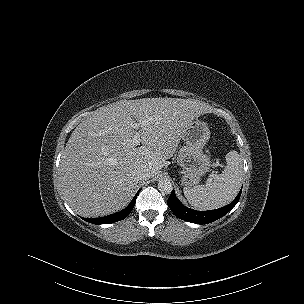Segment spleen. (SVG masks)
<instances>
[{
	"label": "spleen",
	"instance_id": "1",
	"mask_svg": "<svg viewBox=\"0 0 304 304\" xmlns=\"http://www.w3.org/2000/svg\"><path fill=\"white\" fill-rule=\"evenodd\" d=\"M224 171L208 181L206 185L194 188L184 187V195L192 206L201 210H210L230 203L237 195L243 180V162L237 151L226 154Z\"/></svg>",
	"mask_w": 304,
	"mask_h": 304
}]
</instances>
